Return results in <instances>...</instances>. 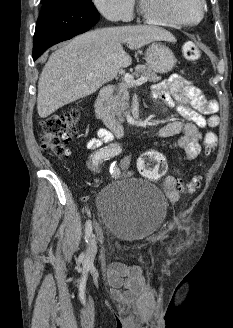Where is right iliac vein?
Returning a JSON list of instances; mask_svg holds the SVG:
<instances>
[{"label": "right iliac vein", "mask_w": 233, "mask_h": 328, "mask_svg": "<svg viewBox=\"0 0 233 328\" xmlns=\"http://www.w3.org/2000/svg\"><path fill=\"white\" fill-rule=\"evenodd\" d=\"M96 253H97V244L95 239L91 237L89 240V245L87 247V253L85 257V262L87 265H90L94 261Z\"/></svg>", "instance_id": "63e3f726"}]
</instances>
